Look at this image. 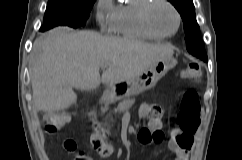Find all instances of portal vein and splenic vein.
Here are the masks:
<instances>
[{
  "label": "portal vein and splenic vein",
  "mask_w": 242,
  "mask_h": 160,
  "mask_svg": "<svg viewBox=\"0 0 242 160\" xmlns=\"http://www.w3.org/2000/svg\"><path fill=\"white\" fill-rule=\"evenodd\" d=\"M102 69H106L108 66L107 65H102Z\"/></svg>",
  "instance_id": "portal-vein-and-splenic-vein-1"
}]
</instances>
